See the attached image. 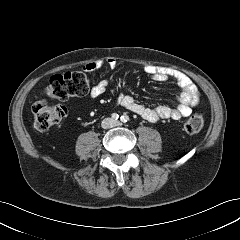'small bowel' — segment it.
<instances>
[{
	"label": "small bowel",
	"mask_w": 240,
	"mask_h": 240,
	"mask_svg": "<svg viewBox=\"0 0 240 240\" xmlns=\"http://www.w3.org/2000/svg\"><path fill=\"white\" fill-rule=\"evenodd\" d=\"M104 66L114 69L118 66V62L112 57L105 60H96L87 63L85 65V70L87 72H95ZM143 70L144 73L154 81L166 82L169 79H173L176 82L177 86L181 90L177 97V106L170 107L167 105H159L156 107H149L139 102L133 96L123 93H121L116 99V104L118 106L141 116L149 122H156L164 119L178 120L191 114L193 107L199 101L200 94L197 87L192 83L187 75L173 69L153 65L144 66ZM107 87L108 80H100L92 87L90 92L91 98L100 97L105 93Z\"/></svg>",
	"instance_id": "obj_1"
}]
</instances>
